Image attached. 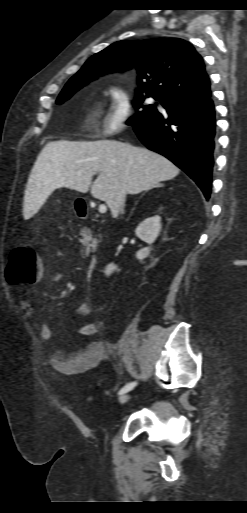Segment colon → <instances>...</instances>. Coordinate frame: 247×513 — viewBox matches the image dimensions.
Returning a JSON list of instances; mask_svg holds the SVG:
<instances>
[{
  "label": "colon",
  "mask_w": 247,
  "mask_h": 513,
  "mask_svg": "<svg viewBox=\"0 0 247 513\" xmlns=\"http://www.w3.org/2000/svg\"><path fill=\"white\" fill-rule=\"evenodd\" d=\"M42 272V264L31 245L20 244L11 251L5 270L8 283L31 285L37 281Z\"/></svg>",
  "instance_id": "obj_1"
}]
</instances>
